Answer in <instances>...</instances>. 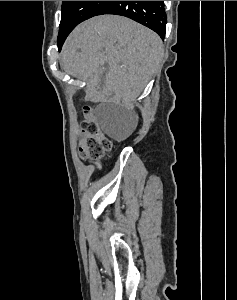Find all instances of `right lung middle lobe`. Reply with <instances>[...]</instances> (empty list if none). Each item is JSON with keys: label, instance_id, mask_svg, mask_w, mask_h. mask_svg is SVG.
<instances>
[{"label": "right lung middle lobe", "instance_id": "obj_1", "mask_svg": "<svg viewBox=\"0 0 237 300\" xmlns=\"http://www.w3.org/2000/svg\"><path fill=\"white\" fill-rule=\"evenodd\" d=\"M109 1H63L58 34V47H62L69 33L82 21L96 16Z\"/></svg>", "mask_w": 237, "mask_h": 300}]
</instances>
